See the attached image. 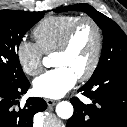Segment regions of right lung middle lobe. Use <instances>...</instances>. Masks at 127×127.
Masks as SVG:
<instances>
[{"label":"right lung middle lobe","mask_w":127,"mask_h":127,"mask_svg":"<svg viewBox=\"0 0 127 127\" xmlns=\"http://www.w3.org/2000/svg\"><path fill=\"white\" fill-rule=\"evenodd\" d=\"M45 12L0 11V80L21 83L26 80L17 51L24 34Z\"/></svg>","instance_id":"right-lung-middle-lobe-1"}]
</instances>
